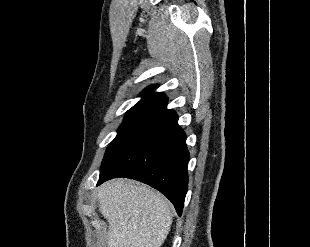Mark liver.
<instances>
[{
  "mask_svg": "<svg viewBox=\"0 0 310 247\" xmlns=\"http://www.w3.org/2000/svg\"><path fill=\"white\" fill-rule=\"evenodd\" d=\"M99 210L109 223L107 247H161L172 224V208L160 193L114 179L98 188Z\"/></svg>",
  "mask_w": 310,
  "mask_h": 247,
  "instance_id": "1",
  "label": "liver"
}]
</instances>
